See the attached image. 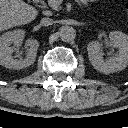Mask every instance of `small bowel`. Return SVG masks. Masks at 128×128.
I'll use <instances>...</instances> for the list:
<instances>
[{
  "label": "small bowel",
  "mask_w": 128,
  "mask_h": 128,
  "mask_svg": "<svg viewBox=\"0 0 128 128\" xmlns=\"http://www.w3.org/2000/svg\"><path fill=\"white\" fill-rule=\"evenodd\" d=\"M82 3H86V2H88V1H92V2H94V1H98V0H80Z\"/></svg>",
  "instance_id": "c3829d8e"
}]
</instances>
